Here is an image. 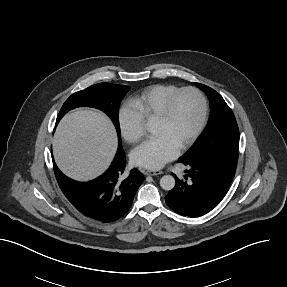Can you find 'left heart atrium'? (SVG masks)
<instances>
[{
  "mask_svg": "<svg viewBox=\"0 0 287 287\" xmlns=\"http://www.w3.org/2000/svg\"><path fill=\"white\" fill-rule=\"evenodd\" d=\"M178 151L179 148L167 137L158 136L137 147L132 154V160L140 167L156 170L173 160Z\"/></svg>",
  "mask_w": 287,
  "mask_h": 287,
  "instance_id": "39dd6f15",
  "label": "left heart atrium"
}]
</instances>
